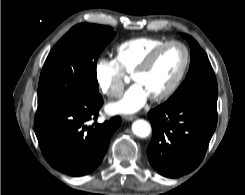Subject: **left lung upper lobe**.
Returning a JSON list of instances; mask_svg holds the SVG:
<instances>
[{"label":"left lung upper lobe","mask_w":245,"mask_h":195,"mask_svg":"<svg viewBox=\"0 0 245 195\" xmlns=\"http://www.w3.org/2000/svg\"><path fill=\"white\" fill-rule=\"evenodd\" d=\"M190 45L191 62L188 74L169 102L217 105L218 87L206 53L189 35H182Z\"/></svg>","instance_id":"obj_1"}]
</instances>
